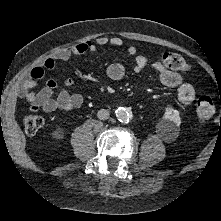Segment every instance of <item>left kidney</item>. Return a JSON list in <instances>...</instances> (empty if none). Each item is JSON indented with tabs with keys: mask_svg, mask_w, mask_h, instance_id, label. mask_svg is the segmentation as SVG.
Returning <instances> with one entry per match:
<instances>
[{
	"mask_svg": "<svg viewBox=\"0 0 221 221\" xmlns=\"http://www.w3.org/2000/svg\"><path fill=\"white\" fill-rule=\"evenodd\" d=\"M180 113L178 110L167 107L165 108V114L162 119L161 127L167 131H177L180 125Z\"/></svg>",
	"mask_w": 221,
	"mask_h": 221,
	"instance_id": "left-kidney-1",
	"label": "left kidney"
}]
</instances>
